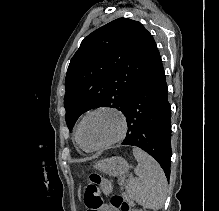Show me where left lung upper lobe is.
Returning a JSON list of instances; mask_svg holds the SVG:
<instances>
[{
	"mask_svg": "<svg viewBox=\"0 0 219 211\" xmlns=\"http://www.w3.org/2000/svg\"><path fill=\"white\" fill-rule=\"evenodd\" d=\"M161 61L152 35L138 21L118 18L89 34L65 78L69 130L93 108L111 107L124 114L132 93Z\"/></svg>",
	"mask_w": 219,
	"mask_h": 211,
	"instance_id": "left-lung-upper-lobe-1",
	"label": "left lung upper lobe"
}]
</instances>
